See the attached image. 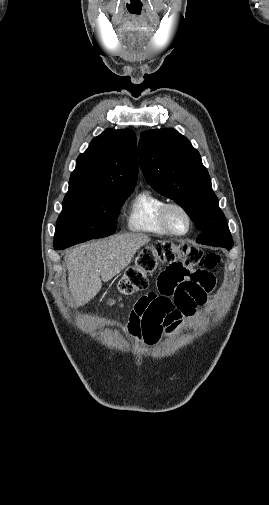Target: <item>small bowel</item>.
I'll return each mask as SVG.
<instances>
[{"mask_svg":"<svg viewBox=\"0 0 269 505\" xmlns=\"http://www.w3.org/2000/svg\"><path fill=\"white\" fill-rule=\"evenodd\" d=\"M185 262L172 259L170 268H162L157 286L150 289L131 311L127 331L137 340L155 344L165 329L173 330L181 318L195 316L198 305L207 301V294L216 288L211 268L188 271Z\"/></svg>","mask_w":269,"mask_h":505,"instance_id":"c3829d8e","label":"small bowel"}]
</instances>
